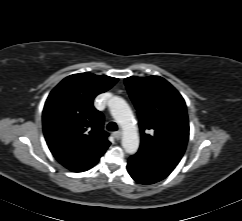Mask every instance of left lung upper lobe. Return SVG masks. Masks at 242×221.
Listing matches in <instances>:
<instances>
[{
  "label": "left lung upper lobe",
  "mask_w": 242,
  "mask_h": 221,
  "mask_svg": "<svg viewBox=\"0 0 242 221\" xmlns=\"http://www.w3.org/2000/svg\"><path fill=\"white\" fill-rule=\"evenodd\" d=\"M125 85L139 116V149L177 165L189 139L184 99L169 82L159 76L128 77Z\"/></svg>",
  "instance_id": "left-lung-upper-lobe-1"
}]
</instances>
